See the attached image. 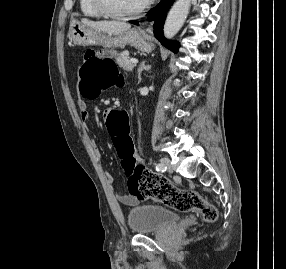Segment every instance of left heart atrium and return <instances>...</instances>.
Listing matches in <instances>:
<instances>
[{"instance_id": "obj_1", "label": "left heart atrium", "mask_w": 286, "mask_h": 269, "mask_svg": "<svg viewBox=\"0 0 286 269\" xmlns=\"http://www.w3.org/2000/svg\"><path fill=\"white\" fill-rule=\"evenodd\" d=\"M153 0H146V2H152Z\"/></svg>"}]
</instances>
